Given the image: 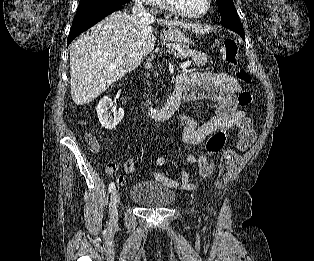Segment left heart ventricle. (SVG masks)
<instances>
[{"mask_svg": "<svg viewBox=\"0 0 314 261\" xmlns=\"http://www.w3.org/2000/svg\"><path fill=\"white\" fill-rule=\"evenodd\" d=\"M178 7L188 12H199L205 9L207 0H172Z\"/></svg>", "mask_w": 314, "mask_h": 261, "instance_id": "obj_1", "label": "left heart ventricle"}]
</instances>
